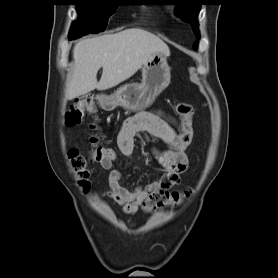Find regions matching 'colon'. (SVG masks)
Here are the masks:
<instances>
[{
  "instance_id": "5ec220e1",
  "label": "colon",
  "mask_w": 278,
  "mask_h": 278,
  "mask_svg": "<svg viewBox=\"0 0 278 278\" xmlns=\"http://www.w3.org/2000/svg\"><path fill=\"white\" fill-rule=\"evenodd\" d=\"M96 112V104L92 96L86 95L78 98L66 111L65 123L67 126L81 124L87 115ZM176 112L181 119V129L174 141V147L180 152H186L193 140L191 120L194 115V108L191 104L180 102L176 106ZM96 142V139H92ZM71 167L75 172L79 184L86 188L89 185V178L92 170L88 160L76 150L69 151ZM92 158L99 162L103 159L117 158V152L113 148L95 146L92 151ZM184 194L177 191L159 190L151 193L144 201L143 208L150 212L167 206H175L183 199Z\"/></svg>"
}]
</instances>
